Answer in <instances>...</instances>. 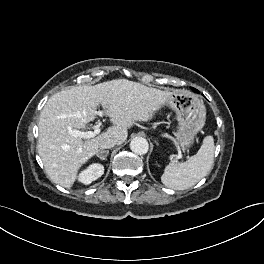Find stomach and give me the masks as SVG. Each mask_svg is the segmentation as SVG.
<instances>
[{"mask_svg": "<svg viewBox=\"0 0 264 264\" xmlns=\"http://www.w3.org/2000/svg\"><path fill=\"white\" fill-rule=\"evenodd\" d=\"M165 105L176 114L179 127L175 136L178 144L182 148L189 147L205 124L206 108L203 101L188 91H174Z\"/></svg>", "mask_w": 264, "mask_h": 264, "instance_id": "obj_1", "label": "stomach"}]
</instances>
